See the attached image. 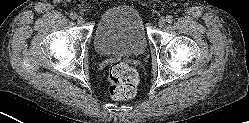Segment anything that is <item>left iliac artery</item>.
I'll list each match as a JSON object with an SVG mask.
<instances>
[{
    "label": "left iliac artery",
    "mask_w": 249,
    "mask_h": 123,
    "mask_svg": "<svg viewBox=\"0 0 249 123\" xmlns=\"http://www.w3.org/2000/svg\"><path fill=\"white\" fill-rule=\"evenodd\" d=\"M166 21H167L168 23H172V22H173V16H172V15H168V16L166 17Z\"/></svg>",
    "instance_id": "1"
}]
</instances>
